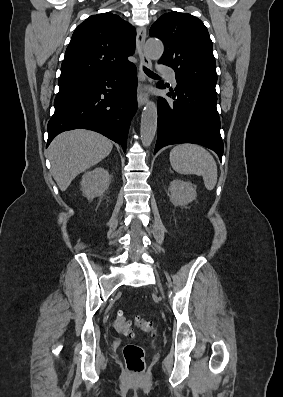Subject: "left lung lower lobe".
Returning <instances> with one entry per match:
<instances>
[{
	"label": "left lung lower lobe",
	"mask_w": 283,
	"mask_h": 397,
	"mask_svg": "<svg viewBox=\"0 0 283 397\" xmlns=\"http://www.w3.org/2000/svg\"><path fill=\"white\" fill-rule=\"evenodd\" d=\"M157 86L165 87L163 82ZM167 95L175 101L158 99V138L154 153L171 144L195 143L210 148L221 160L223 142L216 94L177 81L175 93Z\"/></svg>",
	"instance_id": "1"
}]
</instances>
